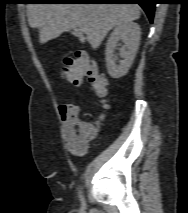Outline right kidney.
<instances>
[{"instance_id": "ca27d5eb", "label": "right kidney", "mask_w": 188, "mask_h": 213, "mask_svg": "<svg viewBox=\"0 0 188 213\" xmlns=\"http://www.w3.org/2000/svg\"><path fill=\"white\" fill-rule=\"evenodd\" d=\"M140 26L134 22L117 25L111 33L106 44V66L112 78H120L129 71L140 43ZM119 41L124 43L120 48V56L123 60L116 64L114 53Z\"/></svg>"}]
</instances>
